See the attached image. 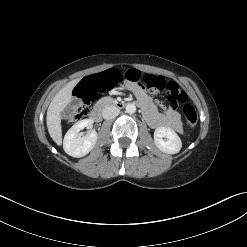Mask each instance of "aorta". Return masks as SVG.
<instances>
[{"mask_svg":"<svg viewBox=\"0 0 247 247\" xmlns=\"http://www.w3.org/2000/svg\"><path fill=\"white\" fill-rule=\"evenodd\" d=\"M126 112L128 114H134L136 112V106L132 103L126 105Z\"/></svg>","mask_w":247,"mask_h":247,"instance_id":"obj_1","label":"aorta"}]
</instances>
